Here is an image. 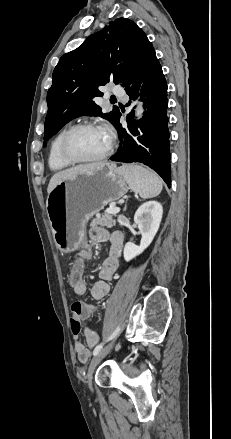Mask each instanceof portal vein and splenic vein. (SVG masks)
<instances>
[{
  "mask_svg": "<svg viewBox=\"0 0 231 439\" xmlns=\"http://www.w3.org/2000/svg\"><path fill=\"white\" fill-rule=\"evenodd\" d=\"M119 212H120L119 207H110V208L106 209L107 214H117Z\"/></svg>",
  "mask_w": 231,
  "mask_h": 439,
  "instance_id": "18ae733b",
  "label": "portal vein and splenic vein"
}]
</instances>
